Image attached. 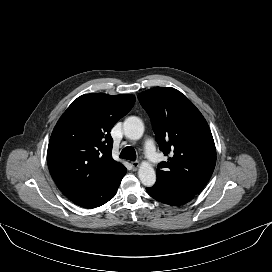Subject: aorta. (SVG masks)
<instances>
[{"mask_svg": "<svg viewBox=\"0 0 272 272\" xmlns=\"http://www.w3.org/2000/svg\"><path fill=\"white\" fill-rule=\"evenodd\" d=\"M124 134L131 140H138L144 133V124L138 117H128L123 124ZM138 177L141 183L147 187H151L156 182V173L154 168L149 162H142L139 170Z\"/></svg>", "mask_w": 272, "mask_h": 272, "instance_id": "aorta-1", "label": "aorta"}]
</instances>
